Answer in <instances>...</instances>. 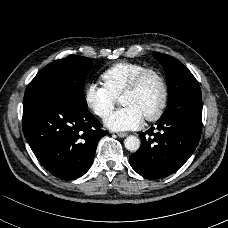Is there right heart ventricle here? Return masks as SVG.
Segmentation results:
<instances>
[{
    "label": "right heart ventricle",
    "instance_id": "obj_1",
    "mask_svg": "<svg viewBox=\"0 0 228 228\" xmlns=\"http://www.w3.org/2000/svg\"><path fill=\"white\" fill-rule=\"evenodd\" d=\"M147 68L148 66L141 63L118 62L104 70L101 78L109 92L119 98L134 77Z\"/></svg>",
    "mask_w": 228,
    "mask_h": 228
}]
</instances>
